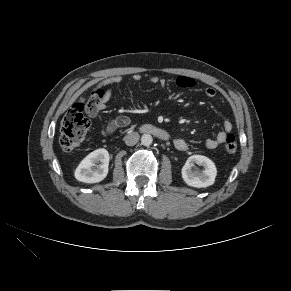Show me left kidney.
Returning <instances> with one entry per match:
<instances>
[{
    "label": "left kidney",
    "instance_id": "1",
    "mask_svg": "<svg viewBox=\"0 0 291 291\" xmlns=\"http://www.w3.org/2000/svg\"><path fill=\"white\" fill-rule=\"evenodd\" d=\"M195 163L203 167L201 172L192 169ZM181 173L187 185L196 188H205L214 183L217 169L213 161L208 157L192 155L187 159Z\"/></svg>",
    "mask_w": 291,
    "mask_h": 291
}]
</instances>
